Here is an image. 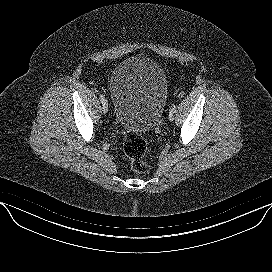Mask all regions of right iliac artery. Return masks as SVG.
Segmentation results:
<instances>
[{
	"label": "right iliac artery",
	"instance_id": "right-iliac-artery-1",
	"mask_svg": "<svg viewBox=\"0 0 272 272\" xmlns=\"http://www.w3.org/2000/svg\"><path fill=\"white\" fill-rule=\"evenodd\" d=\"M100 101L102 104L106 101L105 97L102 94H100Z\"/></svg>",
	"mask_w": 272,
	"mask_h": 272
}]
</instances>
